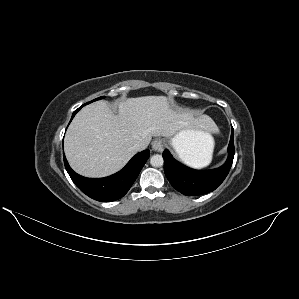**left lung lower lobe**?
Instances as JSON below:
<instances>
[{
  "label": "left lung lower lobe",
  "instance_id": "0a47b994",
  "mask_svg": "<svg viewBox=\"0 0 299 299\" xmlns=\"http://www.w3.org/2000/svg\"><path fill=\"white\" fill-rule=\"evenodd\" d=\"M228 159L224 165L212 170H194L177 162L170 152L164 150V172L171 185L187 196H196L215 190L226 178L233 163L234 130H231V139L228 145Z\"/></svg>",
  "mask_w": 299,
  "mask_h": 299
}]
</instances>
